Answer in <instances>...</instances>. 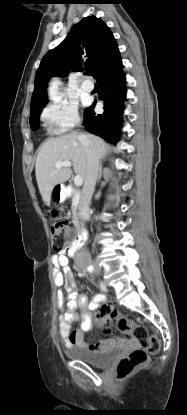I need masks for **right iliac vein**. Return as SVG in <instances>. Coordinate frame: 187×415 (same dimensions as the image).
I'll use <instances>...</instances> for the list:
<instances>
[{"mask_svg":"<svg viewBox=\"0 0 187 415\" xmlns=\"http://www.w3.org/2000/svg\"><path fill=\"white\" fill-rule=\"evenodd\" d=\"M95 272H96L97 274H99V273L101 272V269H100V267H98V266H95Z\"/></svg>","mask_w":187,"mask_h":415,"instance_id":"right-iliac-vein-1","label":"right iliac vein"}]
</instances>
